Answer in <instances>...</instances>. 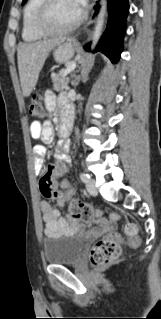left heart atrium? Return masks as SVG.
Returning a JSON list of instances; mask_svg holds the SVG:
<instances>
[{
	"instance_id": "1",
	"label": "left heart atrium",
	"mask_w": 161,
	"mask_h": 319,
	"mask_svg": "<svg viewBox=\"0 0 161 319\" xmlns=\"http://www.w3.org/2000/svg\"><path fill=\"white\" fill-rule=\"evenodd\" d=\"M80 7L84 6L86 3V0H76Z\"/></svg>"
}]
</instances>
